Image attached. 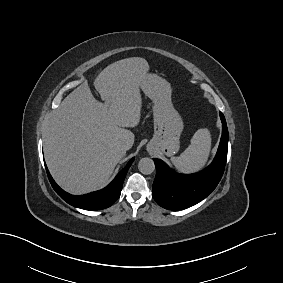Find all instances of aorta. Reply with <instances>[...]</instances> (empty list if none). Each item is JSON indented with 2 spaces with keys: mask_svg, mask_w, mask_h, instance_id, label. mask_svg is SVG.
Instances as JSON below:
<instances>
[{
  "mask_svg": "<svg viewBox=\"0 0 283 283\" xmlns=\"http://www.w3.org/2000/svg\"><path fill=\"white\" fill-rule=\"evenodd\" d=\"M138 169L142 174L149 175L154 172V161L148 157L142 158L138 163Z\"/></svg>",
  "mask_w": 283,
  "mask_h": 283,
  "instance_id": "obj_1",
  "label": "aorta"
}]
</instances>
